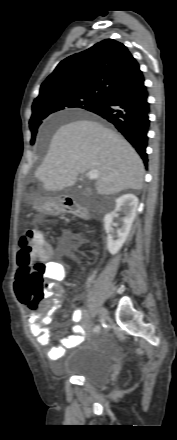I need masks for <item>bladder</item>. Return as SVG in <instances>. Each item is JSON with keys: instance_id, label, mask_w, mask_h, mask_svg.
Wrapping results in <instances>:
<instances>
[{"instance_id": "1", "label": "bladder", "mask_w": 177, "mask_h": 440, "mask_svg": "<svg viewBox=\"0 0 177 440\" xmlns=\"http://www.w3.org/2000/svg\"><path fill=\"white\" fill-rule=\"evenodd\" d=\"M76 357L64 369L68 375L83 378L94 387L106 384L112 373V361L90 346L89 342L80 343Z\"/></svg>"}]
</instances>
